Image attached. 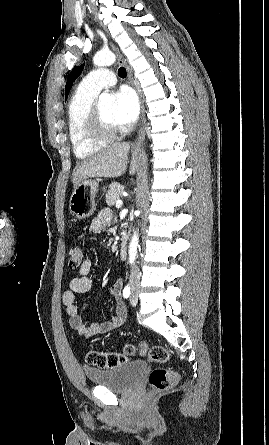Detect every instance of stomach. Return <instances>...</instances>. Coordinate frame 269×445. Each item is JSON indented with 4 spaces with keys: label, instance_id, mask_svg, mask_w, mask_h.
<instances>
[{
    "label": "stomach",
    "instance_id": "stomach-1",
    "mask_svg": "<svg viewBox=\"0 0 269 445\" xmlns=\"http://www.w3.org/2000/svg\"><path fill=\"white\" fill-rule=\"evenodd\" d=\"M98 186V179H86L73 190L70 197L69 210L74 218L85 219L94 213Z\"/></svg>",
    "mask_w": 269,
    "mask_h": 445
}]
</instances>
